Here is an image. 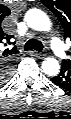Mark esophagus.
I'll list each match as a JSON object with an SVG mask.
<instances>
[{"label": "esophagus", "instance_id": "obj_1", "mask_svg": "<svg viewBox=\"0 0 71 119\" xmlns=\"http://www.w3.org/2000/svg\"><path fill=\"white\" fill-rule=\"evenodd\" d=\"M32 54L39 59H43L45 57V55L43 53H39L36 51H33Z\"/></svg>", "mask_w": 71, "mask_h": 119}]
</instances>
